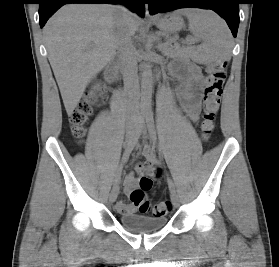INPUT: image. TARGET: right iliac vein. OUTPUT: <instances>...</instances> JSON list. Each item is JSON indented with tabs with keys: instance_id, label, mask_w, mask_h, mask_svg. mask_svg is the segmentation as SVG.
Here are the masks:
<instances>
[{
	"instance_id": "right-iliac-vein-1",
	"label": "right iliac vein",
	"mask_w": 279,
	"mask_h": 267,
	"mask_svg": "<svg viewBox=\"0 0 279 267\" xmlns=\"http://www.w3.org/2000/svg\"><path fill=\"white\" fill-rule=\"evenodd\" d=\"M136 131H137V128L134 125H129L127 127L126 142H128L134 136ZM118 191H119L118 184L115 183L111 192H110V194H109V200H110L111 203H113L117 199Z\"/></svg>"
}]
</instances>
